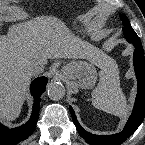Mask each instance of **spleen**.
I'll list each match as a JSON object with an SVG mask.
<instances>
[{
    "label": "spleen",
    "instance_id": "spleen-1",
    "mask_svg": "<svg viewBox=\"0 0 145 145\" xmlns=\"http://www.w3.org/2000/svg\"><path fill=\"white\" fill-rule=\"evenodd\" d=\"M99 82L92 90V105L118 117L126 115V98L119 87L118 73L112 66H107L99 73Z\"/></svg>",
    "mask_w": 145,
    "mask_h": 145
}]
</instances>
